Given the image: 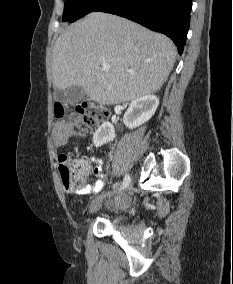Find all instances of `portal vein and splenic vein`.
Instances as JSON below:
<instances>
[{
  "label": "portal vein and splenic vein",
  "mask_w": 233,
  "mask_h": 284,
  "mask_svg": "<svg viewBox=\"0 0 233 284\" xmlns=\"http://www.w3.org/2000/svg\"><path fill=\"white\" fill-rule=\"evenodd\" d=\"M102 70L103 71H109L110 70V66L108 64H103L102 65Z\"/></svg>",
  "instance_id": "1"
}]
</instances>
